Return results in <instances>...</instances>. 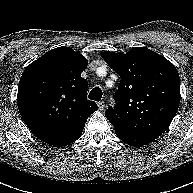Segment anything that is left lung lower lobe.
Instances as JSON below:
<instances>
[{
    "label": "left lung lower lobe",
    "mask_w": 193,
    "mask_h": 193,
    "mask_svg": "<svg viewBox=\"0 0 193 193\" xmlns=\"http://www.w3.org/2000/svg\"><path fill=\"white\" fill-rule=\"evenodd\" d=\"M115 132L122 141L134 147L144 146L159 136L156 134H131L119 131Z\"/></svg>",
    "instance_id": "0a47b994"
}]
</instances>
